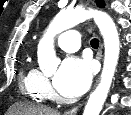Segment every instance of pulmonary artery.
Instances as JSON below:
<instances>
[{"instance_id": "pulmonary-artery-1", "label": "pulmonary artery", "mask_w": 131, "mask_h": 115, "mask_svg": "<svg viewBox=\"0 0 131 115\" xmlns=\"http://www.w3.org/2000/svg\"><path fill=\"white\" fill-rule=\"evenodd\" d=\"M80 41V33L76 30L65 31L61 33L56 39L58 46L66 52H74L78 50Z\"/></svg>"}]
</instances>
